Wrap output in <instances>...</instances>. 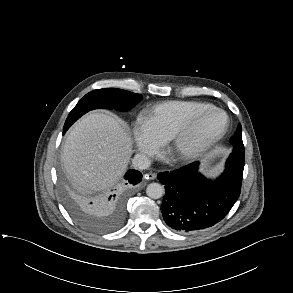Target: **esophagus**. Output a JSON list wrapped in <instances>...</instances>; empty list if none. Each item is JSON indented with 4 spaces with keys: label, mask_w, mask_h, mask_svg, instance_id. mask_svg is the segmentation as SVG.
<instances>
[{
    "label": "esophagus",
    "mask_w": 293,
    "mask_h": 293,
    "mask_svg": "<svg viewBox=\"0 0 293 293\" xmlns=\"http://www.w3.org/2000/svg\"><path fill=\"white\" fill-rule=\"evenodd\" d=\"M157 175L155 173H148L144 175L145 179H150V180H154L156 179Z\"/></svg>",
    "instance_id": "esophagus-1"
}]
</instances>
